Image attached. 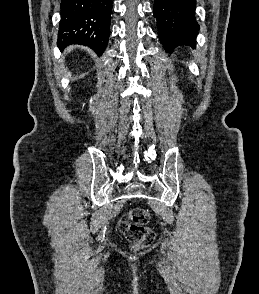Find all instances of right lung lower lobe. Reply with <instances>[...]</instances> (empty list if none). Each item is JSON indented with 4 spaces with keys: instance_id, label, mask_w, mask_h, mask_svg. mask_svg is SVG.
I'll use <instances>...</instances> for the list:
<instances>
[{
    "instance_id": "right-lung-lower-lobe-1",
    "label": "right lung lower lobe",
    "mask_w": 259,
    "mask_h": 294,
    "mask_svg": "<svg viewBox=\"0 0 259 294\" xmlns=\"http://www.w3.org/2000/svg\"><path fill=\"white\" fill-rule=\"evenodd\" d=\"M111 0H62L58 47L81 44L101 55L110 32Z\"/></svg>"
}]
</instances>
